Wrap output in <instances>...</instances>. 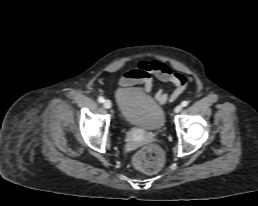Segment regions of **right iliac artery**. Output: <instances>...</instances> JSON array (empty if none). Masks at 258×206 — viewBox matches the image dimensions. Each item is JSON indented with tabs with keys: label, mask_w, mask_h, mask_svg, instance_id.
I'll list each match as a JSON object with an SVG mask.
<instances>
[{
	"label": "right iliac artery",
	"mask_w": 258,
	"mask_h": 206,
	"mask_svg": "<svg viewBox=\"0 0 258 206\" xmlns=\"http://www.w3.org/2000/svg\"><path fill=\"white\" fill-rule=\"evenodd\" d=\"M98 101H99L100 103H102V102H104V98L100 96V97L98 98Z\"/></svg>",
	"instance_id": "right-iliac-artery-1"
}]
</instances>
